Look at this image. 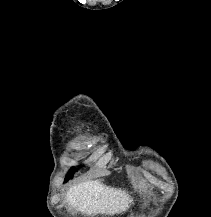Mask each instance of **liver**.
<instances>
[{
	"label": "liver",
	"mask_w": 211,
	"mask_h": 217,
	"mask_svg": "<svg viewBox=\"0 0 211 217\" xmlns=\"http://www.w3.org/2000/svg\"><path fill=\"white\" fill-rule=\"evenodd\" d=\"M70 208L95 216L120 214L130 207L133 199L123 190L110 188L99 181H86L72 186L66 193Z\"/></svg>",
	"instance_id": "6515ba94"
}]
</instances>
